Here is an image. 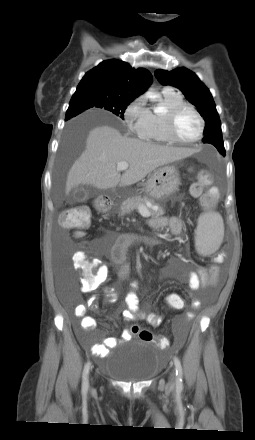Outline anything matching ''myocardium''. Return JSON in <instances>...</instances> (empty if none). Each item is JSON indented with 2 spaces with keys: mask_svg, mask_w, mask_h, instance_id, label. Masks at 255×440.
<instances>
[{
  "mask_svg": "<svg viewBox=\"0 0 255 440\" xmlns=\"http://www.w3.org/2000/svg\"><path fill=\"white\" fill-rule=\"evenodd\" d=\"M185 110L192 111L197 116V118L199 120V124H200L198 135L195 138L188 140V141L180 139L176 134V128H175L176 120H177L178 116ZM164 123H165V130H166L167 137L172 143H176V144H180V145H192V144L200 141L204 135L205 120H204L203 116L201 115V113L190 104L184 103V104L178 105L172 109H169L164 115Z\"/></svg>",
  "mask_w": 255,
  "mask_h": 440,
  "instance_id": "myocardium-1",
  "label": "myocardium"
}]
</instances>
